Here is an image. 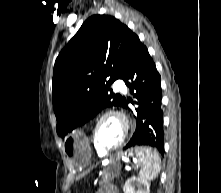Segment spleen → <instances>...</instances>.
<instances>
[{
	"instance_id": "1",
	"label": "spleen",
	"mask_w": 221,
	"mask_h": 193,
	"mask_svg": "<svg viewBox=\"0 0 221 193\" xmlns=\"http://www.w3.org/2000/svg\"><path fill=\"white\" fill-rule=\"evenodd\" d=\"M133 151H136L138 165L141 168L139 172L141 179H155L161 170L159 154L152 150V146H133Z\"/></svg>"
}]
</instances>
